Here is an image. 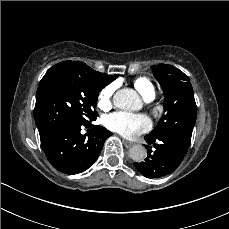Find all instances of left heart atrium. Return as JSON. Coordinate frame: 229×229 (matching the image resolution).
Listing matches in <instances>:
<instances>
[{
  "instance_id": "1",
  "label": "left heart atrium",
  "mask_w": 229,
  "mask_h": 229,
  "mask_svg": "<svg viewBox=\"0 0 229 229\" xmlns=\"http://www.w3.org/2000/svg\"><path fill=\"white\" fill-rule=\"evenodd\" d=\"M105 125L128 138H135L151 128V120L143 114L116 112L107 116Z\"/></svg>"
}]
</instances>
